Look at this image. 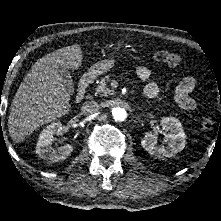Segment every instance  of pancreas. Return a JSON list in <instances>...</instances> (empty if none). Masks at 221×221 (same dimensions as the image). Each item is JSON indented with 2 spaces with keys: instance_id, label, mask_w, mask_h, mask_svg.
Segmentation results:
<instances>
[{
  "instance_id": "1",
  "label": "pancreas",
  "mask_w": 221,
  "mask_h": 221,
  "mask_svg": "<svg viewBox=\"0 0 221 221\" xmlns=\"http://www.w3.org/2000/svg\"><path fill=\"white\" fill-rule=\"evenodd\" d=\"M109 81H110V76L103 77L96 88V94H99L100 96L112 95L113 90L107 87V83Z\"/></svg>"
}]
</instances>
